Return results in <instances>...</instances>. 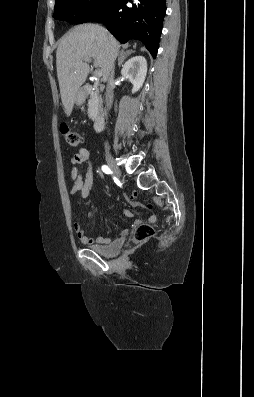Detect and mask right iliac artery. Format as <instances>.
<instances>
[{
	"label": "right iliac artery",
	"mask_w": 254,
	"mask_h": 397,
	"mask_svg": "<svg viewBox=\"0 0 254 397\" xmlns=\"http://www.w3.org/2000/svg\"><path fill=\"white\" fill-rule=\"evenodd\" d=\"M102 170L103 172H105L106 174H110L111 170L109 169V167L107 165H103L102 166Z\"/></svg>",
	"instance_id": "right-iliac-artery-1"
}]
</instances>
